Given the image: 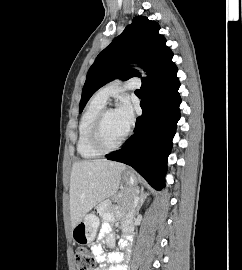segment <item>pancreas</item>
I'll return each mask as SVG.
<instances>
[{
    "label": "pancreas",
    "mask_w": 242,
    "mask_h": 270,
    "mask_svg": "<svg viewBox=\"0 0 242 270\" xmlns=\"http://www.w3.org/2000/svg\"><path fill=\"white\" fill-rule=\"evenodd\" d=\"M137 196V191L134 192L130 188H125L116 197L117 201L124 210H130L134 207V199Z\"/></svg>",
    "instance_id": "cf45deb5"
}]
</instances>
